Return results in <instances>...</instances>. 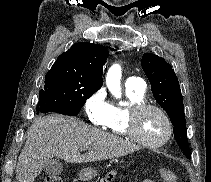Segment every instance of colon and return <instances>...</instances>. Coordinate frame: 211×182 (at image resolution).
<instances>
[{
	"label": "colon",
	"instance_id": "colon-1",
	"mask_svg": "<svg viewBox=\"0 0 211 182\" xmlns=\"http://www.w3.org/2000/svg\"><path fill=\"white\" fill-rule=\"evenodd\" d=\"M160 175L166 182H175L176 176L169 170H160ZM116 177L115 171L108 172L104 177H102L98 182H112ZM45 182H63L62 179L57 175H48L45 178Z\"/></svg>",
	"mask_w": 211,
	"mask_h": 182
}]
</instances>
